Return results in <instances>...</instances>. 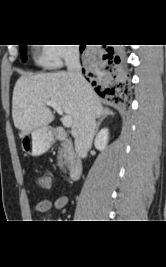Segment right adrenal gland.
<instances>
[{
    "label": "right adrenal gland",
    "mask_w": 166,
    "mask_h": 267,
    "mask_svg": "<svg viewBox=\"0 0 166 267\" xmlns=\"http://www.w3.org/2000/svg\"><path fill=\"white\" fill-rule=\"evenodd\" d=\"M108 116H114V113L108 109L105 110V112H103L101 116H99V120L96 124L95 134L98 132L99 127H100L101 123L103 122V120Z\"/></svg>",
    "instance_id": "1"
}]
</instances>
